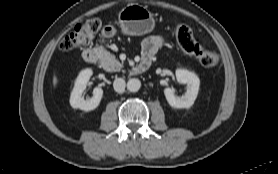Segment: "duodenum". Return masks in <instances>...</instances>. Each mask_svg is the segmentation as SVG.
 <instances>
[{
  "label": "duodenum",
  "instance_id": "1",
  "mask_svg": "<svg viewBox=\"0 0 278 174\" xmlns=\"http://www.w3.org/2000/svg\"><path fill=\"white\" fill-rule=\"evenodd\" d=\"M83 59L89 64L95 63L98 59V51L93 48L84 50ZM151 62H152L151 58L149 57L143 58L135 67H133L132 73L140 74L145 72L150 67Z\"/></svg>",
  "mask_w": 278,
  "mask_h": 174
}]
</instances>
